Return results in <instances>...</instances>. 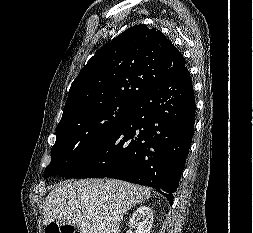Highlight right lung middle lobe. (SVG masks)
<instances>
[{"instance_id":"dd1d6c3e","label":"right lung middle lobe","mask_w":253,"mask_h":233,"mask_svg":"<svg viewBox=\"0 0 253 233\" xmlns=\"http://www.w3.org/2000/svg\"><path fill=\"white\" fill-rule=\"evenodd\" d=\"M133 104L132 100H105L63 116L44 177L60 174L103 144L127 118Z\"/></svg>"}]
</instances>
